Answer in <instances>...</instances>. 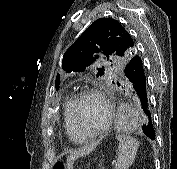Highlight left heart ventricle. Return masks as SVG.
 I'll use <instances>...</instances> for the list:
<instances>
[{"label":"left heart ventricle","instance_id":"left-heart-ventricle-1","mask_svg":"<svg viewBox=\"0 0 177 169\" xmlns=\"http://www.w3.org/2000/svg\"><path fill=\"white\" fill-rule=\"evenodd\" d=\"M105 116V109L98 98H84L77 111L78 135L85 136L98 130L104 123Z\"/></svg>","mask_w":177,"mask_h":169}]
</instances>
